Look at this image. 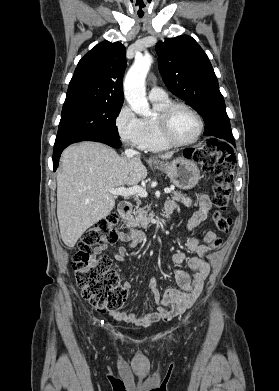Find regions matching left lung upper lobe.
Returning <instances> with one entry per match:
<instances>
[{"instance_id":"obj_1","label":"left lung upper lobe","mask_w":279,"mask_h":391,"mask_svg":"<svg viewBox=\"0 0 279 391\" xmlns=\"http://www.w3.org/2000/svg\"><path fill=\"white\" fill-rule=\"evenodd\" d=\"M159 71L167 88L189 103L205 121L204 135L232 136L225 102L212 65L190 36L168 38L156 45Z\"/></svg>"}]
</instances>
